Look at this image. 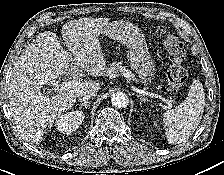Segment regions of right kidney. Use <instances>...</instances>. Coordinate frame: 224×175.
<instances>
[{
  "label": "right kidney",
  "mask_w": 224,
  "mask_h": 175,
  "mask_svg": "<svg viewBox=\"0 0 224 175\" xmlns=\"http://www.w3.org/2000/svg\"><path fill=\"white\" fill-rule=\"evenodd\" d=\"M84 114L82 111H71L59 117L56 129L62 134L70 135L83 122Z\"/></svg>",
  "instance_id": "1"
}]
</instances>
